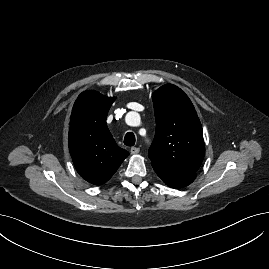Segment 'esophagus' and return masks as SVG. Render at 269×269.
Masks as SVG:
<instances>
[{
  "instance_id": "1",
  "label": "esophagus",
  "mask_w": 269,
  "mask_h": 269,
  "mask_svg": "<svg viewBox=\"0 0 269 269\" xmlns=\"http://www.w3.org/2000/svg\"><path fill=\"white\" fill-rule=\"evenodd\" d=\"M139 151H140V149H139L138 147H132V148L130 149V152H131V154H133V155L138 154Z\"/></svg>"
}]
</instances>
